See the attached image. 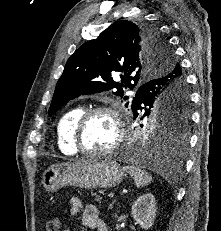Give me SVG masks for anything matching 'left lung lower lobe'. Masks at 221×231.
<instances>
[{"label":"left lung lower lobe","instance_id":"left-lung-lower-lobe-1","mask_svg":"<svg viewBox=\"0 0 221 231\" xmlns=\"http://www.w3.org/2000/svg\"><path fill=\"white\" fill-rule=\"evenodd\" d=\"M180 87L183 90H187L186 80L182 69H174L173 71L158 76L143 86H141L133 101H136L137 105L142 104L145 100H149L156 95L175 92V89ZM188 93V91H187ZM174 98V97H173ZM173 100V99H172ZM172 100L170 102H172ZM187 100L177 97L173 101L174 106H184ZM187 136L172 138H159L155 135L149 137L148 140L143 141L138 149L135 150L134 157L138 161H154L165 162L167 161L168 152H172L174 156L182 154L186 147ZM168 150V151H167ZM174 159H176L174 157ZM177 161V160H176Z\"/></svg>","mask_w":221,"mask_h":231}]
</instances>
